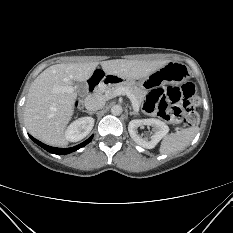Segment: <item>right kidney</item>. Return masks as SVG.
Wrapping results in <instances>:
<instances>
[{
  "label": "right kidney",
  "mask_w": 233,
  "mask_h": 233,
  "mask_svg": "<svg viewBox=\"0 0 233 233\" xmlns=\"http://www.w3.org/2000/svg\"><path fill=\"white\" fill-rule=\"evenodd\" d=\"M94 126L92 117H82L72 122L65 131V138L70 142H77L85 138Z\"/></svg>",
  "instance_id": "obj_1"
}]
</instances>
